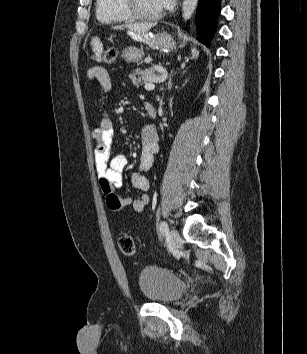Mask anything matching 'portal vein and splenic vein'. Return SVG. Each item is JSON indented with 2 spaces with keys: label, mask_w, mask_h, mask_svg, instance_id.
<instances>
[{
  "label": "portal vein and splenic vein",
  "mask_w": 307,
  "mask_h": 354,
  "mask_svg": "<svg viewBox=\"0 0 307 354\" xmlns=\"http://www.w3.org/2000/svg\"><path fill=\"white\" fill-rule=\"evenodd\" d=\"M164 80V77H156L154 79H152L149 83L145 84L144 88L148 91L153 90L155 88V84L154 82H161Z\"/></svg>",
  "instance_id": "portal-vein-and-splenic-vein-1"
}]
</instances>
